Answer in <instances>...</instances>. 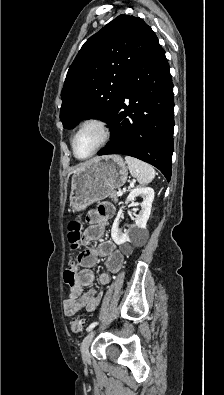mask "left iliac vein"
Segmentation results:
<instances>
[{"mask_svg": "<svg viewBox=\"0 0 224 395\" xmlns=\"http://www.w3.org/2000/svg\"><path fill=\"white\" fill-rule=\"evenodd\" d=\"M96 330H92L82 341L81 343V354H82V359L86 363L90 361V354H89V346L95 336Z\"/></svg>", "mask_w": 224, "mask_h": 395, "instance_id": "obj_1", "label": "left iliac vein"}]
</instances>
